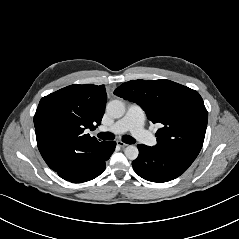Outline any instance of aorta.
<instances>
[{
	"label": "aorta",
	"instance_id": "762f6f07",
	"mask_svg": "<svg viewBox=\"0 0 239 239\" xmlns=\"http://www.w3.org/2000/svg\"><path fill=\"white\" fill-rule=\"evenodd\" d=\"M106 111L113 118H121L125 114V105L120 100H112L107 104ZM124 153L129 160H135L139 151L136 146L129 145L125 148Z\"/></svg>",
	"mask_w": 239,
	"mask_h": 239
}]
</instances>
